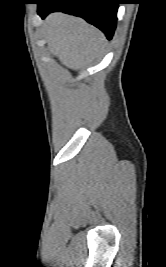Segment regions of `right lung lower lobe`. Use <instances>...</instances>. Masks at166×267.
Masks as SVG:
<instances>
[{
    "mask_svg": "<svg viewBox=\"0 0 166 267\" xmlns=\"http://www.w3.org/2000/svg\"><path fill=\"white\" fill-rule=\"evenodd\" d=\"M119 3V0H40L37 12L43 19L55 11L80 16L111 39L116 28Z\"/></svg>",
    "mask_w": 166,
    "mask_h": 267,
    "instance_id": "obj_1",
    "label": "right lung lower lobe"
}]
</instances>
